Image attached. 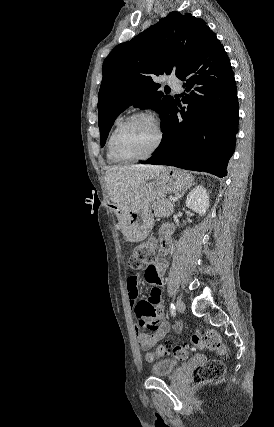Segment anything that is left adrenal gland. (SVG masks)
<instances>
[{"label": "left adrenal gland", "instance_id": "a2214340", "mask_svg": "<svg viewBox=\"0 0 274 427\" xmlns=\"http://www.w3.org/2000/svg\"><path fill=\"white\" fill-rule=\"evenodd\" d=\"M183 194H184V192H182V194H180V196H178V198H182ZM178 204H179V202H178Z\"/></svg>", "mask_w": 274, "mask_h": 427}]
</instances>
